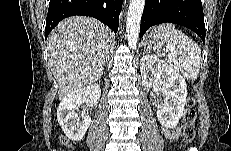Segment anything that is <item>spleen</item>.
<instances>
[{
    "instance_id": "spleen-1",
    "label": "spleen",
    "mask_w": 231,
    "mask_h": 151,
    "mask_svg": "<svg viewBox=\"0 0 231 151\" xmlns=\"http://www.w3.org/2000/svg\"><path fill=\"white\" fill-rule=\"evenodd\" d=\"M157 30L163 35L167 44L166 54L168 65L179 67L187 80H195L199 74L201 62V49L199 45L184 32L177 30L173 24L159 25ZM160 50L157 53L160 54Z\"/></svg>"
}]
</instances>
